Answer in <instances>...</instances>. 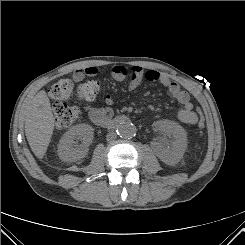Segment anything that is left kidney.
Returning <instances> with one entry per match:
<instances>
[{
  "label": "left kidney",
  "mask_w": 245,
  "mask_h": 245,
  "mask_svg": "<svg viewBox=\"0 0 245 245\" xmlns=\"http://www.w3.org/2000/svg\"><path fill=\"white\" fill-rule=\"evenodd\" d=\"M156 126L165 134L173 137L171 147L167 146L165 139L156 144L157 156L167 164L177 163L183 156L187 147V136L182 126L171 121H159Z\"/></svg>",
  "instance_id": "5707ae66"
}]
</instances>
